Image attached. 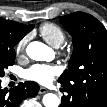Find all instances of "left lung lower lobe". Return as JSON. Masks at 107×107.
Returning <instances> with one entry per match:
<instances>
[{
  "mask_svg": "<svg viewBox=\"0 0 107 107\" xmlns=\"http://www.w3.org/2000/svg\"><path fill=\"white\" fill-rule=\"evenodd\" d=\"M61 90L67 92V95H63L59 107H70L73 100L72 91L64 87ZM81 92L80 107H107V80L99 79L93 83L85 82Z\"/></svg>",
  "mask_w": 107,
  "mask_h": 107,
  "instance_id": "1",
  "label": "left lung lower lobe"
}]
</instances>
